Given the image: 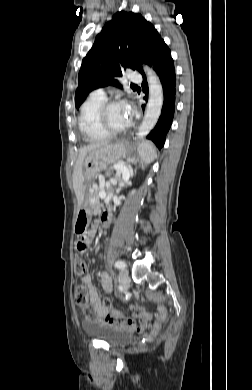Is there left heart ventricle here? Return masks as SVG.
<instances>
[{"instance_id": "b2bd125f", "label": "left heart ventricle", "mask_w": 252, "mask_h": 390, "mask_svg": "<svg viewBox=\"0 0 252 390\" xmlns=\"http://www.w3.org/2000/svg\"><path fill=\"white\" fill-rule=\"evenodd\" d=\"M107 121L116 130L123 129L130 124V120L125 113L122 104L111 106L107 111Z\"/></svg>"}]
</instances>
